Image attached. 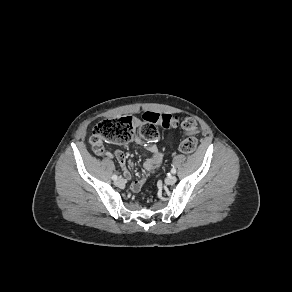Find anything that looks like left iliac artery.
I'll return each instance as SVG.
<instances>
[{
    "label": "left iliac artery",
    "instance_id": "1",
    "mask_svg": "<svg viewBox=\"0 0 292 292\" xmlns=\"http://www.w3.org/2000/svg\"><path fill=\"white\" fill-rule=\"evenodd\" d=\"M171 173H172V174H175V173H176V169H175V168H172V169H171Z\"/></svg>",
    "mask_w": 292,
    "mask_h": 292
}]
</instances>
